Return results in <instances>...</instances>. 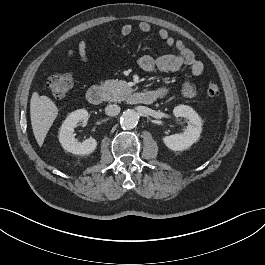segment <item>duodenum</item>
I'll use <instances>...</instances> for the list:
<instances>
[{"label": "duodenum", "instance_id": "1", "mask_svg": "<svg viewBox=\"0 0 265 265\" xmlns=\"http://www.w3.org/2000/svg\"><path fill=\"white\" fill-rule=\"evenodd\" d=\"M103 91L99 86H92L86 92V99L90 104L99 105L103 101ZM159 95L152 91H135L128 101L132 104L150 105L155 103Z\"/></svg>", "mask_w": 265, "mask_h": 265}]
</instances>
